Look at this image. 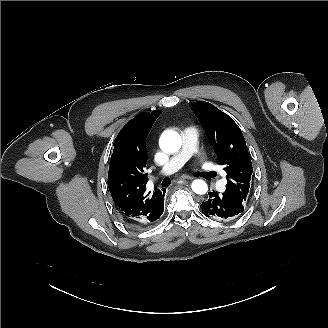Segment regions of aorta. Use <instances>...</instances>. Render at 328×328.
I'll return each instance as SVG.
<instances>
[{
    "instance_id": "aorta-1",
    "label": "aorta",
    "mask_w": 328,
    "mask_h": 328,
    "mask_svg": "<svg viewBox=\"0 0 328 328\" xmlns=\"http://www.w3.org/2000/svg\"><path fill=\"white\" fill-rule=\"evenodd\" d=\"M160 144L166 152H175L181 148L182 139L176 131H166L160 137ZM192 190L196 194H205L208 186L205 181L196 179L192 182Z\"/></svg>"
}]
</instances>
